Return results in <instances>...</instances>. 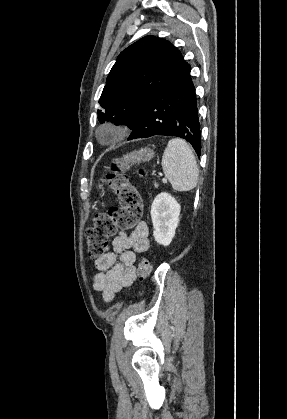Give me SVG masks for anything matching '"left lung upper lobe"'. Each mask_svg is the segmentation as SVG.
I'll use <instances>...</instances> for the list:
<instances>
[{
    "label": "left lung upper lobe",
    "mask_w": 287,
    "mask_h": 419,
    "mask_svg": "<svg viewBox=\"0 0 287 419\" xmlns=\"http://www.w3.org/2000/svg\"><path fill=\"white\" fill-rule=\"evenodd\" d=\"M188 67L170 42L143 37L122 51L112 67L99 99L98 120L133 129L146 102Z\"/></svg>",
    "instance_id": "5c2ea615"
}]
</instances>
